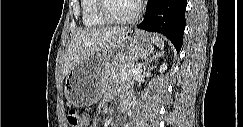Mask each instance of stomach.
I'll return each instance as SVG.
<instances>
[{"label": "stomach", "instance_id": "stomach-1", "mask_svg": "<svg viewBox=\"0 0 243 127\" xmlns=\"http://www.w3.org/2000/svg\"><path fill=\"white\" fill-rule=\"evenodd\" d=\"M154 37L140 31L127 30L103 50L89 55L68 72L64 82L67 101L77 107H87L102 96L110 71L122 62L147 57L154 49Z\"/></svg>", "mask_w": 243, "mask_h": 127}]
</instances>
